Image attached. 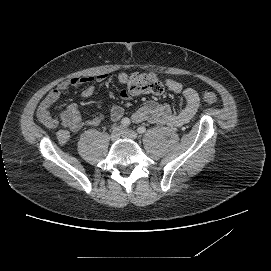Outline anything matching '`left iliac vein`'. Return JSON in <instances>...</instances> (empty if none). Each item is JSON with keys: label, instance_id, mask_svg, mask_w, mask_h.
<instances>
[{"label": "left iliac vein", "instance_id": "1", "mask_svg": "<svg viewBox=\"0 0 271 271\" xmlns=\"http://www.w3.org/2000/svg\"><path fill=\"white\" fill-rule=\"evenodd\" d=\"M122 136L128 139L135 140L137 139L138 134L131 129L122 128Z\"/></svg>", "mask_w": 271, "mask_h": 271}]
</instances>
